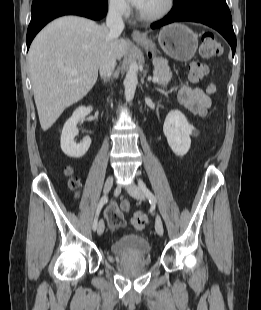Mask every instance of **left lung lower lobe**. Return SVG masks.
Here are the masks:
<instances>
[{
    "label": "left lung lower lobe",
    "instance_id": "left-lung-lower-lobe-1",
    "mask_svg": "<svg viewBox=\"0 0 261 310\" xmlns=\"http://www.w3.org/2000/svg\"><path fill=\"white\" fill-rule=\"evenodd\" d=\"M178 21L202 23L217 30L231 45L234 56L236 37L226 0H185L174 4L171 12L162 20L153 23L151 27L155 29Z\"/></svg>",
    "mask_w": 261,
    "mask_h": 310
}]
</instances>
